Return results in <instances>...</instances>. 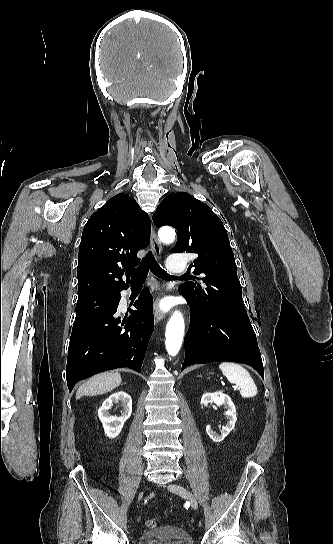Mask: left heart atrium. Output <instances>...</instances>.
Returning <instances> with one entry per match:
<instances>
[{"instance_id": "1", "label": "left heart atrium", "mask_w": 333, "mask_h": 544, "mask_svg": "<svg viewBox=\"0 0 333 544\" xmlns=\"http://www.w3.org/2000/svg\"><path fill=\"white\" fill-rule=\"evenodd\" d=\"M168 305H169V303H168V302H165V303L163 304V307H164V308H167Z\"/></svg>"}]
</instances>
